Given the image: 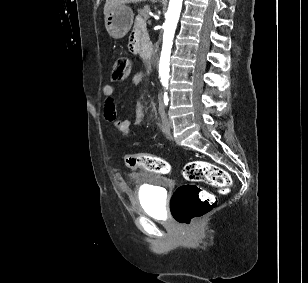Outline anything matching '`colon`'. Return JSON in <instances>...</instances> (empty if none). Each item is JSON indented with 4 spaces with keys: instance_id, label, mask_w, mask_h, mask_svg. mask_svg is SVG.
<instances>
[{
    "instance_id": "colon-1",
    "label": "colon",
    "mask_w": 308,
    "mask_h": 283,
    "mask_svg": "<svg viewBox=\"0 0 308 283\" xmlns=\"http://www.w3.org/2000/svg\"><path fill=\"white\" fill-rule=\"evenodd\" d=\"M131 71L128 57L116 59L112 69V79H126ZM125 164L129 168H140L150 172L166 174L170 165L164 159L148 154L134 153L125 156ZM184 178L190 182L180 185L173 193L170 206L173 218L184 226H189L210 213L216 206L215 196L197 185L204 182L216 190L226 193L230 190L232 180L229 173L220 166L206 161H191L183 169Z\"/></svg>"
}]
</instances>
